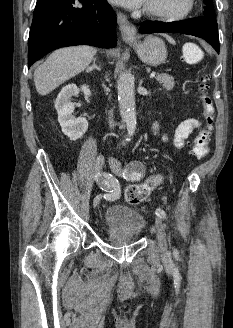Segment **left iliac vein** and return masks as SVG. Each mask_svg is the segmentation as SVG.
<instances>
[{
    "label": "left iliac vein",
    "instance_id": "1",
    "mask_svg": "<svg viewBox=\"0 0 233 328\" xmlns=\"http://www.w3.org/2000/svg\"><path fill=\"white\" fill-rule=\"evenodd\" d=\"M109 165H110L112 172L115 175H117V176L123 175V168H122V165L119 160H117L114 157H110ZM155 228H156V232H157L159 249L163 254H166L167 253L166 233H165V228L162 223V220L159 217H157L155 219Z\"/></svg>",
    "mask_w": 233,
    "mask_h": 328
}]
</instances>
